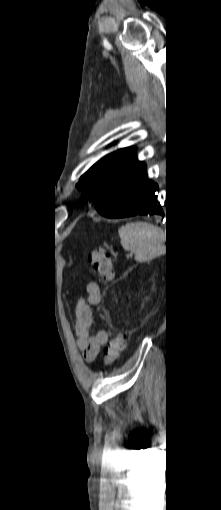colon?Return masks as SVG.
Masks as SVG:
<instances>
[{"instance_id":"5ec220e1","label":"colon","mask_w":221,"mask_h":510,"mask_svg":"<svg viewBox=\"0 0 221 510\" xmlns=\"http://www.w3.org/2000/svg\"><path fill=\"white\" fill-rule=\"evenodd\" d=\"M87 260L92 266L93 272L100 278L109 279L113 275V263L110 255L104 249H96L87 254ZM128 335L122 332L113 337L105 349V364L116 361L125 350Z\"/></svg>"}]
</instances>
